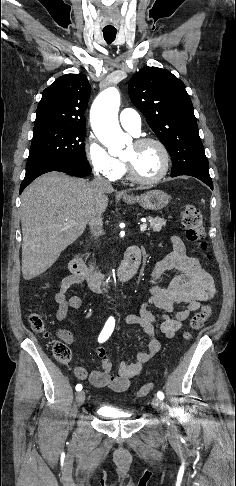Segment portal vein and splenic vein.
<instances>
[{
  "mask_svg": "<svg viewBox=\"0 0 236 486\" xmlns=\"http://www.w3.org/2000/svg\"><path fill=\"white\" fill-rule=\"evenodd\" d=\"M147 228V224L146 223H143L141 226H140V231L141 232H144Z\"/></svg>",
  "mask_w": 236,
  "mask_h": 486,
  "instance_id": "portal-vein-and-splenic-vein-1",
  "label": "portal vein and splenic vein"
}]
</instances>
